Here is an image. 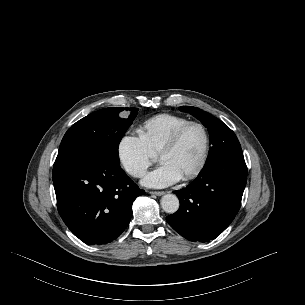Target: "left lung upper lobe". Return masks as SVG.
<instances>
[{"label":"left lung upper lobe","instance_id":"1","mask_svg":"<svg viewBox=\"0 0 305 305\" xmlns=\"http://www.w3.org/2000/svg\"><path fill=\"white\" fill-rule=\"evenodd\" d=\"M180 110L198 118L209 131L212 147L204 167L230 153L242 152L235 133L221 120L196 107L181 106Z\"/></svg>","mask_w":305,"mask_h":305}]
</instances>
